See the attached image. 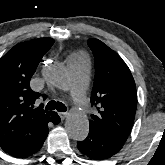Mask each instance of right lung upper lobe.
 Listing matches in <instances>:
<instances>
[{"label": "right lung upper lobe", "mask_w": 165, "mask_h": 165, "mask_svg": "<svg viewBox=\"0 0 165 165\" xmlns=\"http://www.w3.org/2000/svg\"><path fill=\"white\" fill-rule=\"evenodd\" d=\"M52 38H40L14 46L0 59V146L4 151L39 134L56 112L34 108L40 94L31 90L30 79Z\"/></svg>", "instance_id": "cb5924a9"}]
</instances>
